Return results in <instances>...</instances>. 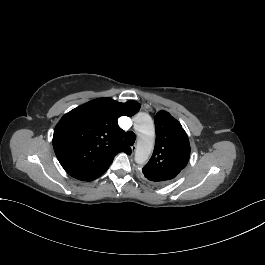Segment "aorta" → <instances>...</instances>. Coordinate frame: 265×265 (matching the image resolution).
Listing matches in <instances>:
<instances>
[{"instance_id": "aorta-1", "label": "aorta", "mask_w": 265, "mask_h": 265, "mask_svg": "<svg viewBox=\"0 0 265 265\" xmlns=\"http://www.w3.org/2000/svg\"><path fill=\"white\" fill-rule=\"evenodd\" d=\"M139 139L135 152V161L144 164L152 153L154 147V124L151 117L145 113L137 116Z\"/></svg>"}]
</instances>
